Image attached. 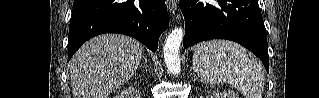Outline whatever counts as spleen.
<instances>
[{
  "label": "spleen",
  "mask_w": 319,
  "mask_h": 98,
  "mask_svg": "<svg viewBox=\"0 0 319 98\" xmlns=\"http://www.w3.org/2000/svg\"><path fill=\"white\" fill-rule=\"evenodd\" d=\"M193 68L209 84H230L246 98H262L264 70L261 63L240 45L211 40L200 44L193 56Z\"/></svg>",
  "instance_id": "1"
}]
</instances>
